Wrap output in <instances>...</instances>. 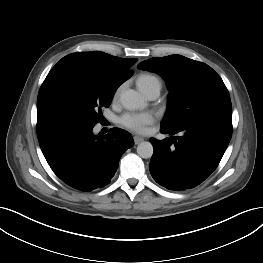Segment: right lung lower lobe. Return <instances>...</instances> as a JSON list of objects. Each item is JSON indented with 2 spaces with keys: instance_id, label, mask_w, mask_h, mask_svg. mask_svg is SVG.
I'll list each match as a JSON object with an SVG mask.
<instances>
[{
  "instance_id": "right-lung-lower-lobe-1",
  "label": "right lung lower lobe",
  "mask_w": 263,
  "mask_h": 263,
  "mask_svg": "<svg viewBox=\"0 0 263 263\" xmlns=\"http://www.w3.org/2000/svg\"><path fill=\"white\" fill-rule=\"evenodd\" d=\"M94 126L54 125L37 130L42 153L53 172L69 186L92 191L110 183L122 154L134 145L118 128L95 136Z\"/></svg>"
}]
</instances>
